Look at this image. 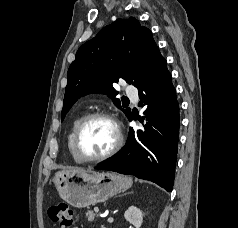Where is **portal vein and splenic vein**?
I'll return each instance as SVG.
<instances>
[{
	"label": "portal vein and splenic vein",
	"mask_w": 238,
	"mask_h": 228,
	"mask_svg": "<svg viewBox=\"0 0 238 228\" xmlns=\"http://www.w3.org/2000/svg\"><path fill=\"white\" fill-rule=\"evenodd\" d=\"M94 211L96 212V213H99V209L96 207V208H94Z\"/></svg>",
	"instance_id": "obj_1"
}]
</instances>
